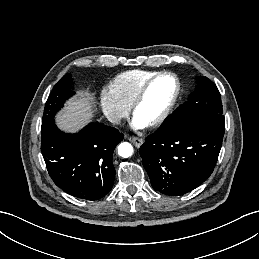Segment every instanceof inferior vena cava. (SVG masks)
I'll return each instance as SVG.
<instances>
[{"instance_id": "inferior-vena-cava-1", "label": "inferior vena cava", "mask_w": 259, "mask_h": 259, "mask_svg": "<svg viewBox=\"0 0 259 259\" xmlns=\"http://www.w3.org/2000/svg\"><path fill=\"white\" fill-rule=\"evenodd\" d=\"M108 120H109L111 123H113V124H120V122H121V117L114 115V116L109 117Z\"/></svg>"}]
</instances>
